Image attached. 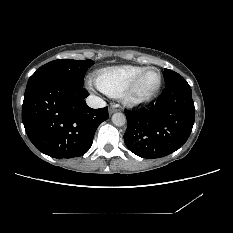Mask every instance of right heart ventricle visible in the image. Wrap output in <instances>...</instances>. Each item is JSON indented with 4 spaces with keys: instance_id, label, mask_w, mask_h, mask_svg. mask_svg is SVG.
Listing matches in <instances>:
<instances>
[{
    "instance_id": "1",
    "label": "right heart ventricle",
    "mask_w": 233,
    "mask_h": 233,
    "mask_svg": "<svg viewBox=\"0 0 233 233\" xmlns=\"http://www.w3.org/2000/svg\"><path fill=\"white\" fill-rule=\"evenodd\" d=\"M144 69L132 65L104 68L97 73V87L111 97H120L131 80Z\"/></svg>"
}]
</instances>
